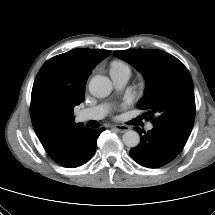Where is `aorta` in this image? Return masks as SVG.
I'll list each match as a JSON object with an SVG mask.
<instances>
[{
  "label": "aorta",
  "instance_id": "1",
  "mask_svg": "<svg viewBox=\"0 0 215 215\" xmlns=\"http://www.w3.org/2000/svg\"><path fill=\"white\" fill-rule=\"evenodd\" d=\"M89 91L94 97H107L112 91V82L105 76H94L89 82ZM123 142L127 147H136L140 143V136L135 130H128L123 135Z\"/></svg>",
  "mask_w": 215,
  "mask_h": 215
}]
</instances>
